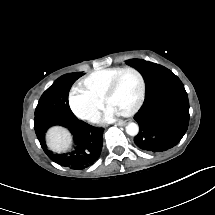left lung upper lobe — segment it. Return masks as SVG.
I'll use <instances>...</instances> for the list:
<instances>
[{
	"instance_id": "obj_1",
	"label": "left lung upper lobe",
	"mask_w": 215,
	"mask_h": 215,
	"mask_svg": "<svg viewBox=\"0 0 215 215\" xmlns=\"http://www.w3.org/2000/svg\"><path fill=\"white\" fill-rule=\"evenodd\" d=\"M143 76L146 98L135 115L140 131L135 144L144 151L162 152L176 146L189 124V102L182 82L165 67L129 60Z\"/></svg>"
}]
</instances>
